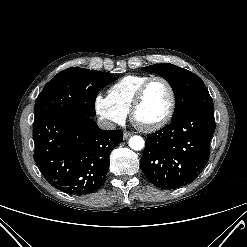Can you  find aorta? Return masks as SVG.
Returning <instances> with one entry per match:
<instances>
[{
    "label": "aorta",
    "mask_w": 247,
    "mask_h": 247,
    "mask_svg": "<svg viewBox=\"0 0 247 247\" xmlns=\"http://www.w3.org/2000/svg\"><path fill=\"white\" fill-rule=\"evenodd\" d=\"M145 142L144 139L141 136H132L129 139V146L131 149L135 151L142 150L144 148Z\"/></svg>",
    "instance_id": "aorta-1"
}]
</instances>
